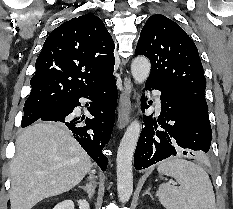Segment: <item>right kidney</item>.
Here are the masks:
<instances>
[{
    "label": "right kidney",
    "instance_id": "ca27d5eb",
    "mask_svg": "<svg viewBox=\"0 0 233 209\" xmlns=\"http://www.w3.org/2000/svg\"><path fill=\"white\" fill-rule=\"evenodd\" d=\"M79 209H90L89 203L84 200H78ZM53 209H74V202L72 200H65L57 204Z\"/></svg>",
    "mask_w": 233,
    "mask_h": 209
}]
</instances>
